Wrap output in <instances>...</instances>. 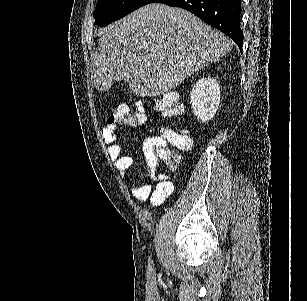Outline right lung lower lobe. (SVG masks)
<instances>
[{
	"instance_id": "right-lung-lower-lobe-1",
	"label": "right lung lower lobe",
	"mask_w": 307,
	"mask_h": 301,
	"mask_svg": "<svg viewBox=\"0 0 307 301\" xmlns=\"http://www.w3.org/2000/svg\"><path fill=\"white\" fill-rule=\"evenodd\" d=\"M150 3H163L192 12L232 38L242 51L241 0H152Z\"/></svg>"
}]
</instances>
